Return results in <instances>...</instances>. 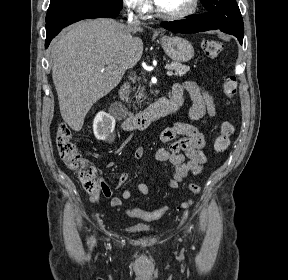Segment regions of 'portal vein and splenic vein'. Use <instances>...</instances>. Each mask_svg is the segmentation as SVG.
Here are the masks:
<instances>
[{
  "mask_svg": "<svg viewBox=\"0 0 288 280\" xmlns=\"http://www.w3.org/2000/svg\"><path fill=\"white\" fill-rule=\"evenodd\" d=\"M166 68H167V70H168V71H167V75H168V76H172V75H173V72H172L171 68H169V67H167V66H166Z\"/></svg>",
  "mask_w": 288,
  "mask_h": 280,
  "instance_id": "1",
  "label": "portal vein and splenic vein"
}]
</instances>
